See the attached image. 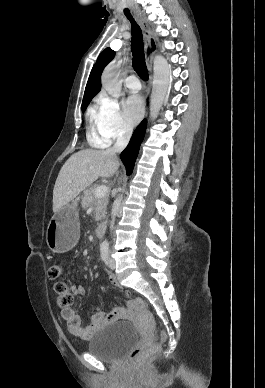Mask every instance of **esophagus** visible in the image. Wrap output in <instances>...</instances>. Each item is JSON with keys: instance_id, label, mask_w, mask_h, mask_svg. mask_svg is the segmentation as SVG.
Returning a JSON list of instances; mask_svg holds the SVG:
<instances>
[{"instance_id": "obj_1", "label": "esophagus", "mask_w": 265, "mask_h": 388, "mask_svg": "<svg viewBox=\"0 0 265 388\" xmlns=\"http://www.w3.org/2000/svg\"><path fill=\"white\" fill-rule=\"evenodd\" d=\"M132 11L136 17L138 24L142 29L146 63L147 65H149V62H151L152 60V52L157 47L156 40L152 34V31L148 25L146 18L143 17L140 11L134 10V9ZM149 70L151 72V69ZM151 82H152V77L150 76V84Z\"/></svg>"}]
</instances>
